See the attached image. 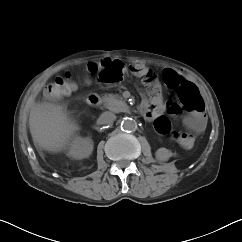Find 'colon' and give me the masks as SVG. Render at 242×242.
I'll return each mask as SVG.
<instances>
[{
	"label": "colon",
	"instance_id": "obj_1",
	"mask_svg": "<svg viewBox=\"0 0 242 242\" xmlns=\"http://www.w3.org/2000/svg\"><path fill=\"white\" fill-rule=\"evenodd\" d=\"M90 73L98 75V81L104 85H112L121 81L123 77V68L115 61H105L101 65L92 62L88 65ZM133 72L140 76L146 86L149 88L150 93L158 98L160 95V86L158 84L155 74L150 70H144L140 67H133ZM164 81L169 88L178 90V97L184 109L192 113L202 112L204 105L197 87L183 78L174 75L172 72L164 74ZM77 88L76 83L73 81L70 74L64 77L56 78L52 83L45 88V96L49 99H56L63 97L75 91ZM154 127L160 134H171L175 140L177 136L182 133L172 130L170 120L165 116H158L155 119Z\"/></svg>",
	"mask_w": 242,
	"mask_h": 242
}]
</instances>
